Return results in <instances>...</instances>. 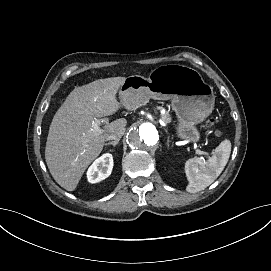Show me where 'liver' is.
Listing matches in <instances>:
<instances>
[{
	"mask_svg": "<svg viewBox=\"0 0 271 271\" xmlns=\"http://www.w3.org/2000/svg\"><path fill=\"white\" fill-rule=\"evenodd\" d=\"M125 77L99 79L75 88L56 112L45 148L46 163L54 180L72 192L89 165L100 155L106 137L124 132V118L96 125L95 117L118 113V91Z\"/></svg>",
	"mask_w": 271,
	"mask_h": 271,
	"instance_id": "6515ba94",
	"label": "liver"
}]
</instances>
